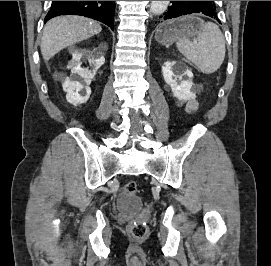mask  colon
<instances>
[{"mask_svg":"<svg viewBox=\"0 0 271 266\" xmlns=\"http://www.w3.org/2000/svg\"><path fill=\"white\" fill-rule=\"evenodd\" d=\"M123 191L129 195H135L138 193V186L135 181L127 182ZM130 234L136 239H144L148 235V228L143 219H138L129 225Z\"/></svg>","mask_w":271,"mask_h":266,"instance_id":"5ec220e1","label":"colon"}]
</instances>
